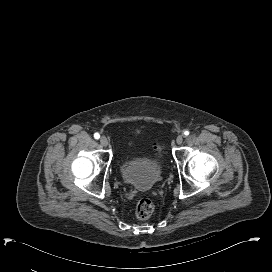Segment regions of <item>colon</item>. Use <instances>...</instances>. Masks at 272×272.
Segmentation results:
<instances>
[{
    "label": "colon",
    "mask_w": 272,
    "mask_h": 272,
    "mask_svg": "<svg viewBox=\"0 0 272 272\" xmlns=\"http://www.w3.org/2000/svg\"><path fill=\"white\" fill-rule=\"evenodd\" d=\"M154 211L153 202L146 197L140 198L135 206V215L138 219H148Z\"/></svg>",
    "instance_id": "colon-1"
}]
</instances>
